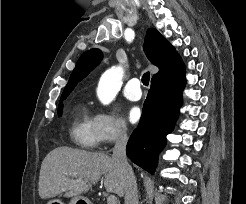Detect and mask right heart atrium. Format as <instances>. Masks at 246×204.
I'll use <instances>...</instances> for the list:
<instances>
[{
	"instance_id": "1",
	"label": "right heart atrium",
	"mask_w": 246,
	"mask_h": 204,
	"mask_svg": "<svg viewBox=\"0 0 246 204\" xmlns=\"http://www.w3.org/2000/svg\"><path fill=\"white\" fill-rule=\"evenodd\" d=\"M98 142L108 145L122 141L128 136L125 122L112 111H99L94 115Z\"/></svg>"
}]
</instances>
